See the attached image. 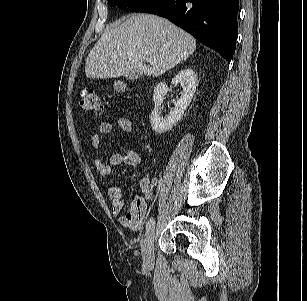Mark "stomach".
Returning a JSON list of instances; mask_svg holds the SVG:
<instances>
[{
  "mask_svg": "<svg viewBox=\"0 0 307 301\" xmlns=\"http://www.w3.org/2000/svg\"><path fill=\"white\" fill-rule=\"evenodd\" d=\"M114 87H115V89H117V90H122V89H123V85H122V83L119 82V81L114 83Z\"/></svg>",
  "mask_w": 307,
  "mask_h": 301,
  "instance_id": "obj_1",
  "label": "stomach"
}]
</instances>
